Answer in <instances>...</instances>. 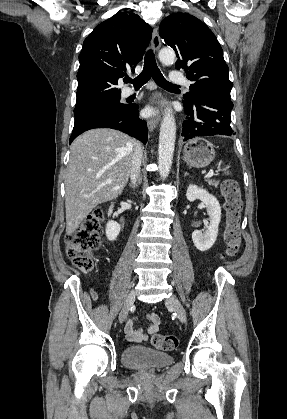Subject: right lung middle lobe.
Masks as SVG:
<instances>
[{"label": "right lung middle lobe", "instance_id": "dd1d6c3e", "mask_svg": "<svg viewBox=\"0 0 287 419\" xmlns=\"http://www.w3.org/2000/svg\"><path fill=\"white\" fill-rule=\"evenodd\" d=\"M121 95H116L113 97H108L90 103L85 106L75 107L74 116L75 122L89 116L91 114L101 112V111H120L128 108V105L121 104L119 102Z\"/></svg>", "mask_w": 287, "mask_h": 419}]
</instances>
